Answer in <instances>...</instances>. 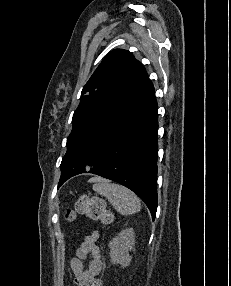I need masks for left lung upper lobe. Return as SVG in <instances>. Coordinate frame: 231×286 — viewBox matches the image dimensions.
<instances>
[{"label":"left lung upper lobe","instance_id":"1","mask_svg":"<svg viewBox=\"0 0 231 286\" xmlns=\"http://www.w3.org/2000/svg\"><path fill=\"white\" fill-rule=\"evenodd\" d=\"M148 79L145 68L130 52L116 49L107 54L82 90L61 171L84 136Z\"/></svg>","mask_w":231,"mask_h":286}]
</instances>
